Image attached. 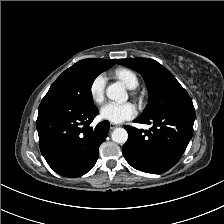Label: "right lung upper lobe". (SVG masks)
I'll use <instances>...</instances> for the list:
<instances>
[{"label": "right lung upper lobe", "instance_id": "cb5924a9", "mask_svg": "<svg viewBox=\"0 0 224 224\" xmlns=\"http://www.w3.org/2000/svg\"><path fill=\"white\" fill-rule=\"evenodd\" d=\"M90 60L95 62V63H97V64H99V65L107 67V68L112 67L118 61V60H107V59H101V58H91Z\"/></svg>", "mask_w": 224, "mask_h": 224}]
</instances>
